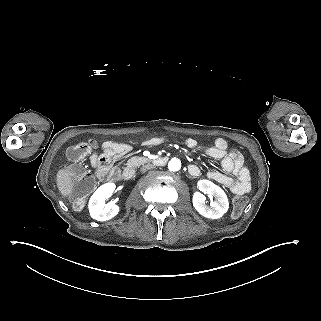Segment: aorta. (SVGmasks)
<instances>
[{
    "mask_svg": "<svg viewBox=\"0 0 321 321\" xmlns=\"http://www.w3.org/2000/svg\"><path fill=\"white\" fill-rule=\"evenodd\" d=\"M168 168L170 171H178L181 168V161L176 158H172L168 163Z\"/></svg>",
    "mask_w": 321,
    "mask_h": 321,
    "instance_id": "obj_1",
    "label": "aorta"
}]
</instances>
